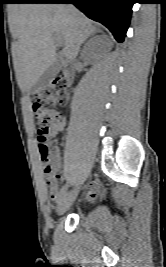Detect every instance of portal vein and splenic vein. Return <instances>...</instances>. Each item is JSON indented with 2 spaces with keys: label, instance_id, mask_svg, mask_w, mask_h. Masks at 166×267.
Here are the masks:
<instances>
[{
  "label": "portal vein and splenic vein",
  "instance_id": "portal-vein-and-splenic-vein-1",
  "mask_svg": "<svg viewBox=\"0 0 166 267\" xmlns=\"http://www.w3.org/2000/svg\"><path fill=\"white\" fill-rule=\"evenodd\" d=\"M55 40H56V42H57L58 44H62V43H63L62 38H61L60 36H58V35H55Z\"/></svg>",
  "mask_w": 166,
  "mask_h": 267
}]
</instances>
